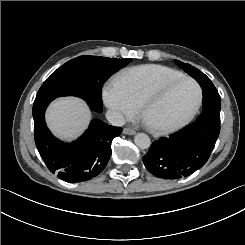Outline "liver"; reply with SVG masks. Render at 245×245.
Listing matches in <instances>:
<instances>
[{
    "label": "liver",
    "mask_w": 245,
    "mask_h": 245,
    "mask_svg": "<svg viewBox=\"0 0 245 245\" xmlns=\"http://www.w3.org/2000/svg\"><path fill=\"white\" fill-rule=\"evenodd\" d=\"M44 119L52 135L64 143L77 141L90 127L92 111L78 96H62L51 101Z\"/></svg>",
    "instance_id": "liver-1"
}]
</instances>
